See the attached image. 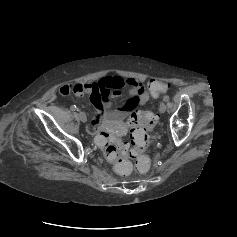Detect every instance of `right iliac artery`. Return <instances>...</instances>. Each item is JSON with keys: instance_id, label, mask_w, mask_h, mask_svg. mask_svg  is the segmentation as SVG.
<instances>
[{"instance_id": "82829eb1", "label": "right iliac artery", "mask_w": 237, "mask_h": 237, "mask_svg": "<svg viewBox=\"0 0 237 237\" xmlns=\"http://www.w3.org/2000/svg\"><path fill=\"white\" fill-rule=\"evenodd\" d=\"M70 109H71L72 111H75V110H77V111H78V109L76 108V106H75V105H72V106L70 107Z\"/></svg>"}]
</instances>
